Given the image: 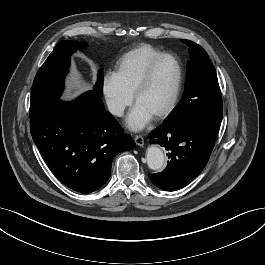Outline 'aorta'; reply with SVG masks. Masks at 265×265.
<instances>
[{
    "label": "aorta",
    "mask_w": 265,
    "mask_h": 265,
    "mask_svg": "<svg viewBox=\"0 0 265 265\" xmlns=\"http://www.w3.org/2000/svg\"><path fill=\"white\" fill-rule=\"evenodd\" d=\"M147 165L152 170H161L164 166V154L157 146H150L146 154Z\"/></svg>",
    "instance_id": "762f6f07"
}]
</instances>
